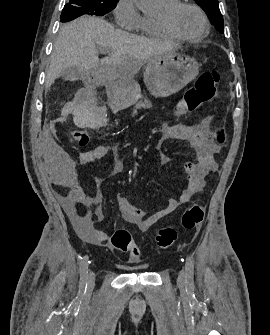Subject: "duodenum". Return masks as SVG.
Returning <instances> with one entry per match:
<instances>
[{"label":"duodenum","mask_w":270,"mask_h":335,"mask_svg":"<svg viewBox=\"0 0 270 335\" xmlns=\"http://www.w3.org/2000/svg\"><path fill=\"white\" fill-rule=\"evenodd\" d=\"M108 94L110 97V106L114 110H121L126 103V95L122 85L110 81L107 86Z\"/></svg>","instance_id":"410a0bca"}]
</instances>
